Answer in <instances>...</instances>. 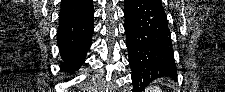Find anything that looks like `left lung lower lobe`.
<instances>
[{
    "instance_id": "1",
    "label": "left lung lower lobe",
    "mask_w": 225,
    "mask_h": 92,
    "mask_svg": "<svg viewBox=\"0 0 225 92\" xmlns=\"http://www.w3.org/2000/svg\"><path fill=\"white\" fill-rule=\"evenodd\" d=\"M124 16L133 91L141 92L157 78L176 80L171 34L162 4L125 0Z\"/></svg>"
}]
</instances>
